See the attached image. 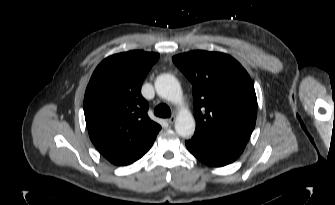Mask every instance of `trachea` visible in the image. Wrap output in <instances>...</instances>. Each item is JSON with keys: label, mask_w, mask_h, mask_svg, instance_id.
I'll use <instances>...</instances> for the list:
<instances>
[{"label": "trachea", "mask_w": 335, "mask_h": 205, "mask_svg": "<svg viewBox=\"0 0 335 205\" xmlns=\"http://www.w3.org/2000/svg\"><path fill=\"white\" fill-rule=\"evenodd\" d=\"M154 114L158 117L168 118L171 116V110L168 105L161 103L155 107Z\"/></svg>", "instance_id": "obj_1"}]
</instances>
